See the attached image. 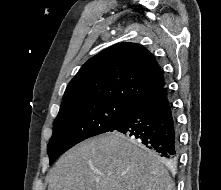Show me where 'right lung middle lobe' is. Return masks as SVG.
Instances as JSON below:
<instances>
[{
    "label": "right lung middle lobe",
    "instance_id": "obj_1",
    "mask_svg": "<svg viewBox=\"0 0 221 190\" xmlns=\"http://www.w3.org/2000/svg\"><path fill=\"white\" fill-rule=\"evenodd\" d=\"M131 107L132 105L120 101L102 100L60 108L47 147L50 164L77 143L111 131Z\"/></svg>",
    "mask_w": 221,
    "mask_h": 190
}]
</instances>
